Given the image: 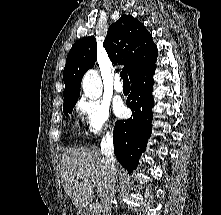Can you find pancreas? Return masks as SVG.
Returning a JSON list of instances; mask_svg holds the SVG:
<instances>
[{"mask_svg": "<svg viewBox=\"0 0 221 215\" xmlns=\"http://www.w3.org/2000/svg\"><path fill=\"white\" fill-rule=\"evenodd\" d=\"M90 212L91 215H100V210H93L92 208H88L86 215H90Z\"/></svg>", "mask_w": 221, "mask_h": 215, "instance_id": "obj_1", "label": "pancreas"}]
</instances>
